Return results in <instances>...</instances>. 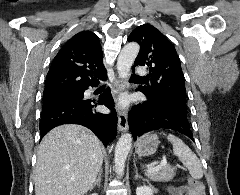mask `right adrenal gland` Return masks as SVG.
<instances>
[{
    "mask_svg": "<svg viewBox=\"0 0 240 195\" xmlns=\"http://www.w3.org/2000/svg\"><path fill=\"white\" fill-rule=\"evenodd\" d=\"M101 179H102V173H98V177H97L96 181H94V183H92L90 189H93V187H95V185H100Z\"/></svg>",
    "mask_w": 240,
    "mask_h": 195,
    "instance_id": "right-adrenal-gland-1",
    "label": "right adrenal gland"
}]
</instances>
